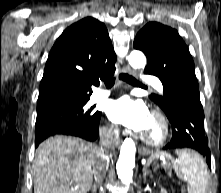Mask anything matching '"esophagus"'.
I'll return each instance as SVG.
<instances>
[{
	"label": "esophagus",
	"instance_id": "obj_1",
	"mask_svg": "<svg viewBox=\"0 0 221 193\" xmlns=\"http://www.w3.org/2000/svg\"><path fill=\"white\" fill-rule=\"evenodd\" d=\"M123 70H124L125 73H128V74L132 73V70L129 66H125Z\"/></svg>",
	"mask_w": 221,
	"mask_h": 193
}]
</instances>
